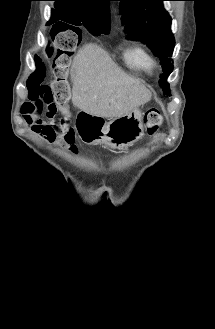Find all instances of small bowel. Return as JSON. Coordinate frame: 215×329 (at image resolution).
I'll return each instance as SVG.
<instances>
[{
    "label": "small bowel",
    "mask_w": 215,
    "mask_h": 329,
    "mask_svg": "<svg viewBox=\"0 0 215 329\" xmlns=\"http://www.w3.org/2000/svg\"><path fill=\"white\" fill-rule=\"evenodd\" d=\"M26 124L38 135L44 138L47 142L60 144L65 142L71 147L72 151H75V147L72 143H69L63 135H61L56 128V121L53 116H49L47 119L36 115L24 116Z\"/></svg>",
    "instance_id": "obj_1"
}]
</instances>
